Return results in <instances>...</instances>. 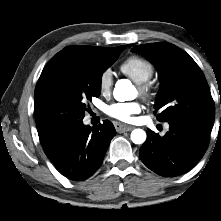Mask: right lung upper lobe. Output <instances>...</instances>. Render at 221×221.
<instances>
[{
	"instance_id": "obj_1",
	"label": "right lung upper lobe",
	"mask_w": 221,
	"mask_h": 221,
	"mask_svg": "<svg viewBox=\"0 0 221 221\" xmlns=\"http://www.w3.org/2000/svg\"><path fill=\"white\" fill-rule=\"evenodd\" d=\"M123 46L115 48H104V47H94V46H68L58 52L47 64H51L60 59H82L91 57H111L115 55H120ZM46 142H41L43 146Z\"/></svg>"
}]
</instances>
